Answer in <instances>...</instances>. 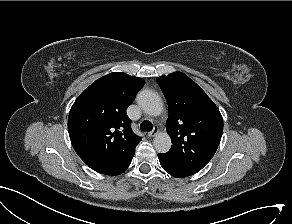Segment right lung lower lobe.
<instances>
[{
	"mask_svg": "<svg viewBox=\"0 0 292 224\" xmlns=\"http://www.w3.org/2000/svg\"><path fill=\"white\" fill-rule=\"evenodd\" d=\"M134 154L128 158L101 162H85L90 168L105 175H119L130 165Z\"/></svg>",
	"mask_w": 292,
	"mask_h": 224,
	"instance_id": "1",
	"label": "right lung lower lobe"
}]
</instances>
